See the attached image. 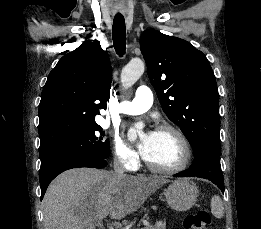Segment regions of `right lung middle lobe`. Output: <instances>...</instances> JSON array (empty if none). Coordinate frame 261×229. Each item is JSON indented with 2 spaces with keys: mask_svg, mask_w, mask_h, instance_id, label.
Segmentation results:
<instances>
[{
  "mask_svg": "<svg viewBox=\"0 0 261 229\" xmlns=\"http://www.w3.org/2000/svg\"><path fill=\"white\" fill-rule=\"evenodd\" d=\"M96 131L100 135L96 134ZM104 136L102 128L95 125L75 139L40 150L41 167L50 163L76 159H107L110 155L109 140H104Z\"/></svg>",
  "mask_w": 261,
  "mask_h": 229,
  "instance_id": "dd1d6c3e",
  "label": "right lung middle lobe"
}]
</instances>
